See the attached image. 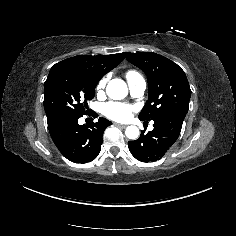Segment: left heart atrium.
I'll use <instances>...</instances> for the list:
<instances>
[{
  "mask_svg": "<svg viewBox=\"0 0 236 236\" xmlns=\"http://www.w3.org/2000/svg\"><path fill=\"white\" fill-rule=\"evenodd\" d=\"M134 111L135 108L132 105L114 101L105 103L101 108L104 116L115 121L126 120Z\"/></svg>",
  "mask_w": 236,
  "mask_h": 236,
  "instance_id": "obj_1",
  "label": "left heart atrium"
}]
</instances>
